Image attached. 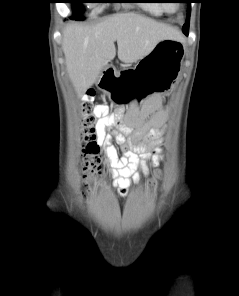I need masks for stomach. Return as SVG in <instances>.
I'll use <instances>...</instances> for the list:
<instances>
[{"label": "stomach", "instance_id": "stomach-1", "mask_svg": "<svg viewBox=\"0 0 239 296\" xmlns=\"http://www.w3.org/2000/svg\"><path fill=\"white\" fill-rule=\"evenodd\" d=\"M184 55V45L177 39L159 41L141 58L136 69H119L115 84L157 85H100V90L110 94V100L118 108H140L144 98L152 94H164L172 90L170 85L176 78Z\"/></svg>", "mask_w": 239, "mask_h": 296}]
</instances>
